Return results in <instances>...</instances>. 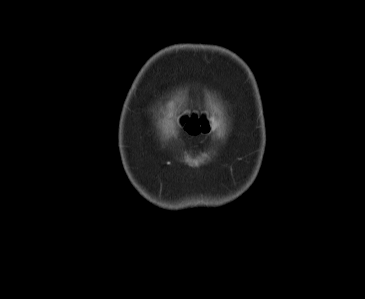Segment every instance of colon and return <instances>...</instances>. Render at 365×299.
Here are the masks:
<instances>
[{"label":"colon","instance_id":"obj_1","mask_svg":"<svg viewBox=\"0 0 365 299\" xmlns=\"http://www.w3.org/2000/svg\"><path fill=\"white\" fill-rule=\"evenodd\" d=\"M185 127L190 133H200L207 129V124L197 120L188 119Z\"/></svg>","mask_w":365,"mask_h":299}]
</instances>
